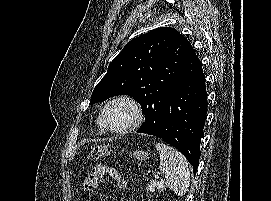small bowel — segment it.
Here are the masks:
<instances>
[{
	"mask_svg": "<svg viewBox=\"0 0 271 201\" xmlns=\"http://www.w3.org/2000/svg\"><path fill=\"white\" fill-rule=\"evenodd\" d=\"M110 178L119 190H125L127 182L122 173L108 165H97L92 169L84 181V188L88 191L97 189L101 181Z\"/></svg>",
	"mask_w": 271,
	"mask_h": 201,
	"instance_id": "obj_1",
	"label": "small bowel"
}]
</instances>
